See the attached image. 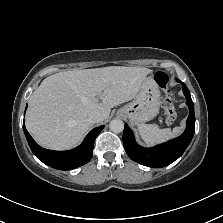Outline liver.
I'll return each instance as SVG.
<instances>
[{"instance_id": "1", "label": "liver", "mask_w": 223, "mask_h": 223, "mask_svg": "<svg viewBox=\"0 0 223 223\" xmlns=\"http://www.w3.org/2000/svg\"><path fill=\"white\" fill-rule=\"evenodd\" d=\"M151 73L147 68L110 66L53 74L31 95L26 128L43 147L70 149L93 125L92 111L107 119L111 108L135 98Z\"/></svg>"}]
</instances>
